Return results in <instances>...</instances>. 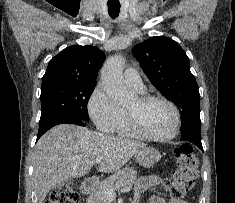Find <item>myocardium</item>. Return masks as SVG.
Masks as SVG:
<instances>
[{"label": "myocardium", "mask_w": 235, "mask_h": 203, "mask_svg": "<svg viewBox=\"0 0 235 203\" xmlns=\"http://www.w3.org/2000/svg\"><path fill=\"white\" fill-rule=\"evenodd\" d=\"M137 99L142 104H146V103H150L154 101H161V102L166 103L172 109L175 120H174L173 130L169 134L164 135V136H156V135L147 133L140 125L136 115L132 111L126 109L125 113H126L128 125L136 136L149 140V141L166 142V141H170L174 139L179 134L180 128H181V114L177 105L173 101H171L170 99L164 96L149 95V94L140 95L137 97Z\"/></svg>", "instance_id": "myocardium-1"}]
</instances>
